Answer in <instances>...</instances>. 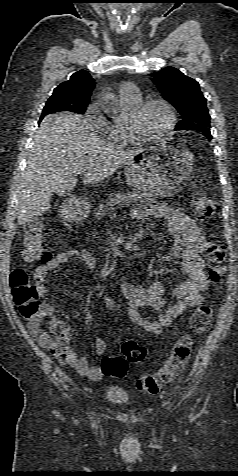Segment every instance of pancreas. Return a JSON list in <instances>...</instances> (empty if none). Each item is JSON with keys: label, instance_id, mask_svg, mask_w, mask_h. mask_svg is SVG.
Masks as SVG:
<instances>
[{"label": "pancreas", "instance_id": "pancreas-1", "mask_svg": "<svg viewBox=\"0 0 238 476\" xmlns=\"http://www.w3.org/2000/svg\"><path fill=\"white\" fill-rule=\"evenodd\" d=\"M149 199L136 192L132 193H115L113 196L103 201L98 208L94 211V219L100 221L104 217L114 213L117 210V206H129V205H147Z\"/></svg>", "mask_w": 238, "mask_h": 476}]
</instances>
